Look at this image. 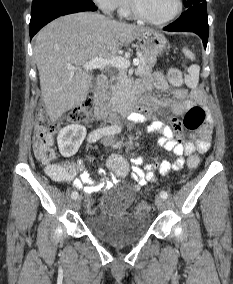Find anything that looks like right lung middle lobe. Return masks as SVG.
Instances as JSON below:
<instances>
[{"mask_svg": "<svg viewBox=\"0 0 233 284\" xmlns=\"http://www.w3.org/2000/svg\"><path fill=\"white\" fill-rule=\"evenodd\" d=\"M95 5L92 0H33L31 14L56 5Z\"/></svg>", "mask_w": 233, "mask_h": 284, "instance_id": "dd1d6c3e", "label": "right lung middle lobe"}]
</instances>
